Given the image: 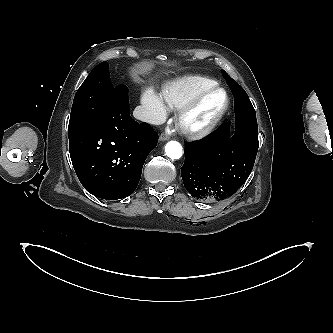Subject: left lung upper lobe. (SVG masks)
Listing matches in <instances>:
<instances>
[{"label":"left lung upper lobe","mask_w":333,"mask_h":333,"mask_svg":"<svg viewBox=\"0 0 333 333\" xmlns=\"http://www.w3.org/2000/svg\"><path fill=\"white\" fill-rule=\"evenodd\" d=\"M222 73H223L224 77L226 78L227 82L229 83L234 96H236V97L242 96L249 103L250 101L248 99L246 92L243 90V88L238 83H236V81H234L224 70H222Z\"/></svg>","instance_id":"5c2ea615"}]
</instances>
